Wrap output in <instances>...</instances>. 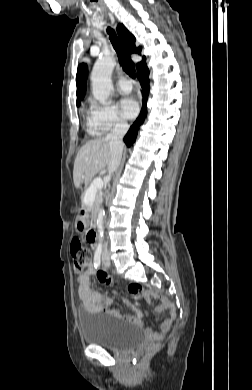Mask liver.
<instances>
[{
    "label": "liver",
    "instance_id": "6515ba94",
    "mask_svg": "<svg viewBox=\"0 0 252 390\" xmlns=\"http://www.w3.org/2000/svg\"><path fill=\"white\" fill-rule=\"evenodd\" d=\"M110 145L106 138L87 142L78 152L73 169V181L76 188L88 183L110 161Z\"/></svg>",
    "mask_w": 252,
    "mask_h": 390
}]
</instances>
